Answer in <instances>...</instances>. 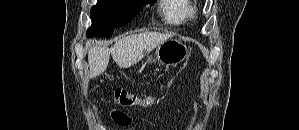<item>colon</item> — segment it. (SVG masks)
<instances>
[{
	"label": "colon",
	"mask_w": 299,
	"mask_h": 130,
	"mask_svg": "<svg viewBox=\"0 0 299 130\" xmlns=\"http://www.w3.org/2000/svg\"><path fill=\"white\" fill-rule=\"evenodd\" d=\"M114 101L116 104L124 107L141 105L143 107H150L156 103V99L152 97L140 98L137 95L128 92L124 89H116L113 92Z\"/></svg>",
	"instance_id": "5ec220e1"
}]
</instances>
